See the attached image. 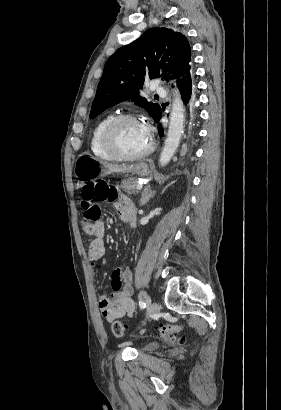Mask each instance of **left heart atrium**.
<instances>
[{"instance_id": "left-heart-atrium-1", "label": "left heart atrium", "mask_w": 281, "mask_h": 410, "mask_svg": "<svg viewBox=\"0 0 281 410\" xmlns=\"http://www.w3.org/2000/svg\"><path fill=\"white\" fill-rule=\"evenodd\" d=\"M144 131L148 136H150V128L147 124H142Z\"/></svg>"}]
</instances>
